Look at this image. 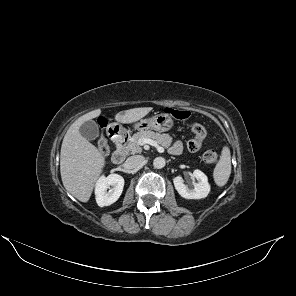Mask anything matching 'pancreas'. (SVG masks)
<instances>
[{"instance_id":"obj_1","label":"pancreas","mask_w":296,"mask_h":296,"mask_svg":"<svg viewBox=\"0 0 296 296\" xmlns=\"http://www.w3.org/2000/svg\"><path fill=\"white\" fill-rule=\"evenodd\" d=\"M148 138L154 140L157 144L168 148L172 143V137L169 134L155 133L151 130H142L135 133L129 140L126 150L131 154L141 153L142 147L140 145V140Z\"/></svg>"}]
</instances>
